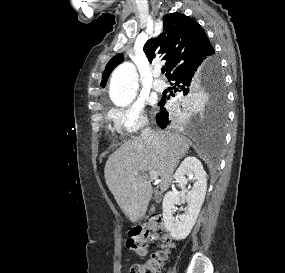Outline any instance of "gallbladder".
I'll list each match as a JSON object with an SVG mask.
<instances>
[{
	"instance_id": "bac80fb5",
	"label": "gallbladder",
	"mask_w": 285,
	"mask_h": 273,
	"mask_svg": "<svg viewBox=\"0 0 285 273\" xmlns=\"http://www.w3.org/2000/svg\"><path fill=\"white\" fill-rule=\"evenodd\" d=\"M154 199L156 200V202H159L160 199H161V193H159V192L156 191V192H155Z\"/></svg>"
}]
</instances>
